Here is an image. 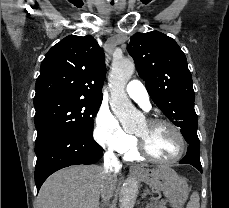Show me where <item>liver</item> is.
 Here are the masks:
<instances>
[{"label": "liver", "mask_w": 229, "mask_h": 208, "mask_svg": "<svg viewBox=\"0 0 229 208\" xmlns=\"http://www.w3.org/2000/svg\"><path fill=\"white\" fill-rule=\"evenodd\" d=\"M159 168L163 166L153 170ZM102 172L100 166H70L55 172L44 182L35 208H99L103 182L109 184L111 192H114L117 184V180L114 182L112 178H104Z\"/></svg>", "instance_id": "1"}]
</instances>
